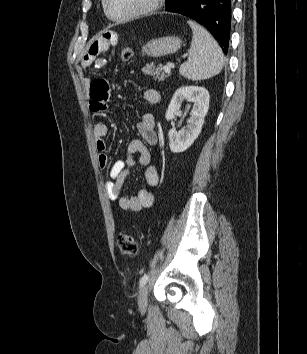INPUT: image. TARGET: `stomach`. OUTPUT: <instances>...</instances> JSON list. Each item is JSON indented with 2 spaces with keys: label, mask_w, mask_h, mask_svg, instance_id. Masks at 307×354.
<instances>
[{
  "label": "stomach",
  "mask_w": 307,
  "mask_h": 354,
  "mask_svg": "<svg viewBox=\"0 0 307 354\" xmlns=\"http://www.w3.org/2000/svg\"><path fill=\"white\" fill-rule=\"evenodd\" d=\"M181 43V39L175 36L155 38L142 47L141 53L154 58L163 57L177 52Z\"/></svg>",
  "instance_id": "obj_1"
}]
</instances>
